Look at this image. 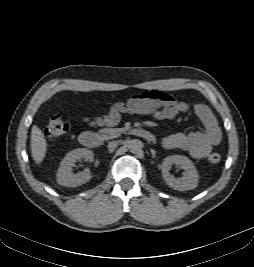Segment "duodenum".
<instances>
[{
  "mask_svg": "<svg viewBox=\"0 0 254 267\" xmlns=\"http://www.w3.org/2000/svg\"><path fill=\"white\" fill-rule=\"evenodd\" d=\"M130 133L147 141H153L154 135L142 128H133ZM109 137L108 133H96L92 131H84L79 135V142L88 148H98Z\"/></svg>",
  "mask_w": 254,
  "mask_h": 267,
  "instance_id": "duodenum-1",
  "label": "duodenum"
}]
</instances>
